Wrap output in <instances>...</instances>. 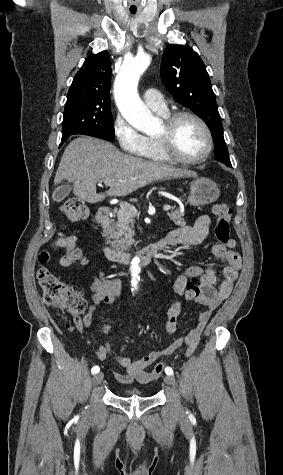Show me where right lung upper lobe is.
<instances>
[{
	"mask_svg": "<svg viewBox=\"0 0 283 475\" xmlns=\"http://www.w3.org/2000/svg\"><path fill=\"white\" fill-rule=\"evenodd\" d=\"M110 80L109 53L102 51L90 54L75 75L67 99H97L110 102Z\"/></svg>",
	"mask_w": 283,
	"mask_h": 475,
	"instance_id": "obj_1",
	"label": "right lung upper lobe"
}]
</instances>
